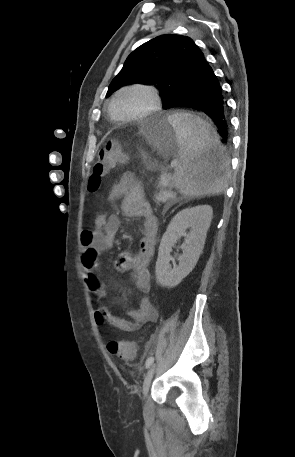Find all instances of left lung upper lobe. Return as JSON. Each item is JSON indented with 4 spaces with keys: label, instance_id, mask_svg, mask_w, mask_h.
<instances>
[{
    "label": "left lung upper lobe",
    "instance_id": "1",
    "mask_svg": "<svg viewBox=\"0 0 295 457\" xmlns=\"http://www.w3.org/2000/svg\"><path fill=\"white\" fill-rule=\"evenodd\" d=\"M200 52L187 36L166 34L151 39L127 57L106 95L126 84L153 85L166 105L187 86L188 72Z\"/></svg>",
    "mask_w": 295,
    "mask_h": 457
}]
</instances>
